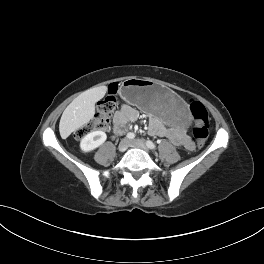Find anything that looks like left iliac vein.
<instances>
[{
  "label": "left iliac vein",
  "mask_w": 264,
  "mask_h": 264,
  "mask_svg": "<svg viewBox=\"0 0 264 264\" xmlns=\"http://www.w3.org/2000/svg\"><path fill=\"white\" fill-rule=\"evenodd\" d=\"M129 145H130V147L140 148V149H143L145 151L147 150L145 143L140 139L130 141Z\"/></svg>",
  "instance_id": "1"
}]
</instances>
